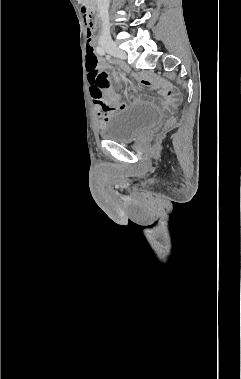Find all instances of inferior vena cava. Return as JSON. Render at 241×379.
I'll return each mask as SVG.
<instances>
[{
	"label": "inferior vena cava",
	"instance_id": "inferior-vena-cava-1",
	"mask_svg": "<svg viewBox=\"0 0 241 379\" xmlns=\"http://www.w3.org/2000/svg\"><path fill=\"white\" fill-rule=\"evenodd\" d=\"M110 0H97L99 18L102 21V38L111 39L108 25V9Z\"/></svg>",
	"mask_w": 241,
	"mask_h": 379
}]
</instances>
